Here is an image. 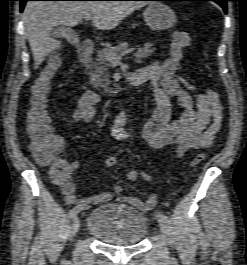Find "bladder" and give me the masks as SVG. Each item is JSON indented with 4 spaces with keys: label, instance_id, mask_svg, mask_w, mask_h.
<instances>
[{
    "label": "bladder",
    "instance_id": "bladder-1",
    "mask_svg": "<svg viewBox=\"0 0 247 265\" xmlns=\"http://www.w3.org/2000/svg\"><path fill=\"white\" fill-rule=\"evenodd\" d=\"M86 228L102 243L135 245L145 238L148 223L146 215L135 208L109 202L90 212Z\"/></svg>",
    "mask_w": 247,
    "mask_h": 265
}]
</instances>
